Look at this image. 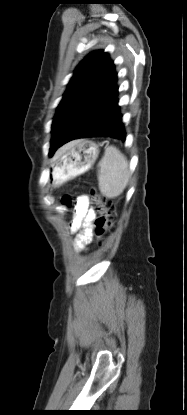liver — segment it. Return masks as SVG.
Here are the masks:
<instances>
[{
	"label": "liver",
	"instance_id": "1",
	"mask_svg": "<svg viewBox=\"0 0 187 415\" xmlns=\"http://www.w3.org/2000/svg\"><path fill=\"white\" fill-rule=\"evenodd\" d=\"M72 145L71 143L66 144L65 146H63L61 149L58 150V152L56 153V156L61 155L64 151H66L67 149H69V147Z\"/></svg>",
	"mask_w": 187,
	"mask_h": 415
}]
</instances>
